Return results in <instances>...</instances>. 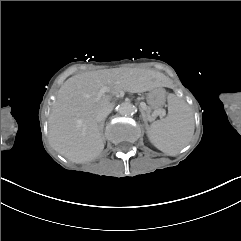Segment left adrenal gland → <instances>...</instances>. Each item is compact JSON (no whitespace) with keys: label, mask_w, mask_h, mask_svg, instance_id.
<instances>
[{"label":"left adrenal gland","mask_w":241,"mask_h":241,"mask_svg":"<svg viewBox=\"0 0 241 241\" xmlns=\"http://www.w3.org/2000/svg\"><path fill=\"white\" fill-rule=\"evenodd\" d=\"M142 118H143V121H144L145 125H147V118L144 114H142Z\"/></svg>","instance_id":"obj_1"}]
</instances>
